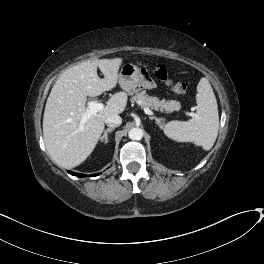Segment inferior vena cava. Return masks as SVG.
Instances as JSON below:
<instances>
[{
  "label": "inferior vena cava",
  "instance_id": "1",
  "mask_svg": "<svg viewBox=\"0 0 264 264\" xmlns=\"http://www.w3.org/2000/svg\"><path fill=\"white\" fill-rule=\"evenodd\" d=\"M105 123L107 124V126L109 127H116V126H119L121 125L122 123V118L118 115H112L110 117H108L106 120H105Z\"/></svg>",
  "mask_w": 264,
  "mask_h": 264
}]
</instances>
